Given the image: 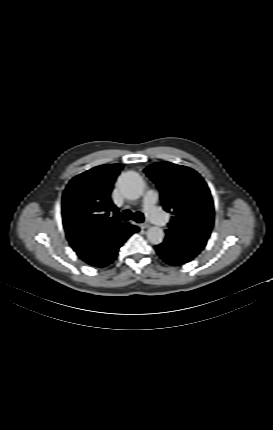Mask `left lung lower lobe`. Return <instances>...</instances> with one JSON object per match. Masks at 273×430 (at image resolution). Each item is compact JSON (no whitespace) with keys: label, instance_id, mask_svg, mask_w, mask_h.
Here are the masks:
<instances>
[{"label":"left lung lower lobe","instance_id":"left-lung-lower-lobe-1","mask_svg":"<svg viewBox=\"0 0 273 430\" xmlns=\"http://www.w3.org/2000/svg\"><path fill=\"white\" fill-rule=\"evenodd\" d=\"M155 249L160 257L170 265L176 266L191 261L178 252L169 236H166L163 243L155 246Z\"/></svg>","mask_w":273,"mask_h":430}]
</instances>
